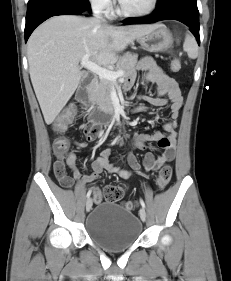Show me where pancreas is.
Returning <instances> with one entry per match:
<instances>
[{
  "label": "pancreas",
  "mask_w": 231,
  "mask_h": 281,
  "mask_svg": "<svg viewBox=\"0 0 231 281\" xmlns=\"http://www.w3.org/2000/svg\"><path fill=\"white\" fill-rule=\"evenodd\" d=\"M137 54L125 53L118 61L115 71L122 70L124 75L122 78H128L135 75V66L137 64ZM113 88V82L105 78L96 79L90 90L91 100L98 106L102 111L112 112L113 105L111 101V90Z\"/></svg>",
  "instance_id": "1"
}]
</instances>
